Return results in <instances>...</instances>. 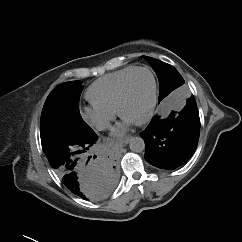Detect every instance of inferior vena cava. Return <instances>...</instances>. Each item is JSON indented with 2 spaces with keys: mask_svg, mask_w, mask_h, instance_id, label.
<instances>
[{
  "mask_svg": "<svg viewBox=\"0 0 242 242\" xmlns=\"http://www.w3.org/2000/svg\"><path fill=\"white\" fill-rule=\"evenodd\" d=\"M98 127H99L100 130H104L106 128H109L110 127V124L104 122V123H101Z\"/></svg>",
  "mask_w": 242,
  "mask_h": 242,
  "instance_id": "inferior-vena-cava-1",
  "label": "inferior vena cava"
}]
</instances>
